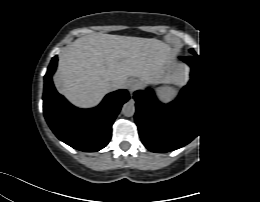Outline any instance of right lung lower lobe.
<instances>
[{"label": "right lung lower lobe", "instance_id": "obj_1", "mask_svg": "<svg viewBox=\"0 0 260 202\" xmlns=\"http://www.w3.org/2000/svg\"><path fill=\"white\" fill-rule=\"evenodd\" d=\"M53 57L44 76L43 111L54 134L74 149L96 152L111 139L112 125L122 105L129 100L127 90H118L106 95L99 106L79 109L60 95L53 84L52 75L57 67Z\"/></svg>", "mask_w": 260, "mask_h": 202}]
</instances>
